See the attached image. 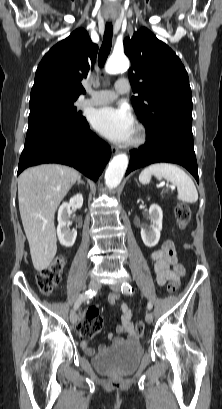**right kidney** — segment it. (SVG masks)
Masks as SVG:
<instances>
[{
	"instance_id": "obj_1",
	"label": "right kidney",
	"mask_w": 222,
	"mask_h": 409,
	"mask_svg": "<svg viewBox=\"0 0 222 409\" xmlns=\"http://www.w3.org/2000/svg\"><path fill=\"white\" fill-rule=\"evenodd\" d=\"M83 205L82 194H76L69 202H64L58 210V227L57 235L60 243L65 247H71L77 237L76 230H70V207L80 209Z\"/></svg>"
}]
</instances>
